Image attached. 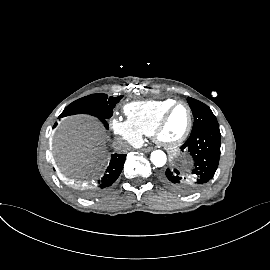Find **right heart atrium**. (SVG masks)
<instances>
[{
	"label": "right heart atrium",
	"instance_id": "obj_1",
	"mask_svg": "<svg viewBox=\"0 0 270 270\" xmlns=\"http://www.w3.org/2000/svg\"><path fill=\"white\" fill-rule=\"evenodd\" d=\"M110 125L115 134L130 143H138L141 140L142 135L127 120L115 117Z\"/></svg>",
	"mask_w": 270,
	"mask_h": 270
}]
</instances>
